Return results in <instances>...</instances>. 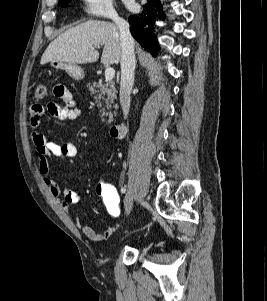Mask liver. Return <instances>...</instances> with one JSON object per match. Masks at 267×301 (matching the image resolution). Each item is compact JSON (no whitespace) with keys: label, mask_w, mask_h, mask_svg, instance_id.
Wrapping results in <instances>:
<instances>
[{"label":"liver","mask_w":267,"mask_h":301,"mask_svg":"<svg viewBox=\"0 0 267 301\" xmlns=\"http://www.w3.org/2000/svg\"><path fill=\"white\" fill-rule=\"evenodd\" d=\"M104 45L101 63L118 64L121 60V40L117 25L88 20L66 30L52 41L42 55L40 64L61 61L71 64L96 62L99 52L94 48ZM93 48V49H92Z\"/></svg>","instance_id":"1"}]
</instances>
